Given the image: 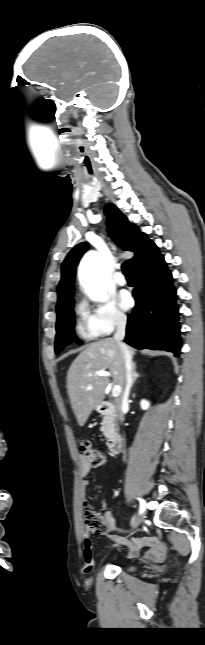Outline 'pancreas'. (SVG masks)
<instances>
[{"instance_id": "1", "label": "pancreas", "mask_w": 205, "mask_h": 645, "mask_svg": "<svg viewBox=\"0 0 205 645\" xmlns=\"http://www.w3.org/2000/svg\"><path fill=\"white\" fill-rule=\"evenodd\" d=\"M110 422H111L110 417L109 416H104V418L102 420V423H101V425H102L101 431H102L103 435L106 438H109V436H110V430H111Z\"/></svg>"}]
</instances>
